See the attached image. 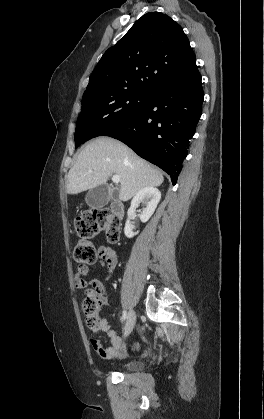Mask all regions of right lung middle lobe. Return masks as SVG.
<instances>
[{
  "label": "right lung middle lobe",
  "instance_id": "right-lung-middle-lobe-1",
  "mask_svg": "<svg viewBox=\"0 0 264 419\" xmlns=\"http://www.w3.org/2000/svg\"><path fill=\"white\" fill-rule=\"evenodd\" d=\"M150 93L146 89L133 88L84 96L76 124L75 148L133 115L147 102Z\"/></svg>",
  "mask_w": 264,
  "mask_h": 419
}]
</instances>
